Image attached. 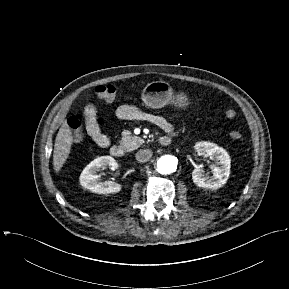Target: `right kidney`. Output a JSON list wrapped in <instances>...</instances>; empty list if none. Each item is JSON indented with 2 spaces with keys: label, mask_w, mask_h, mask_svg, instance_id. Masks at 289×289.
Listing matches in <instances>:
<instances>
[{
  "label": "right kidney",
  "mask_w": 289,
  "mask_h": 289,
  "mask_svg": "<svg viewBox=\"0 0 289 289\" xmlns=\"http://www.w3.org/2000/svg\"><path fill=\"white\" fill-rule=\"evenodd\" d=\"M111 167L115 169L117 162L111 156H101L89 163L80 175V184L97 194L118 193L121 190V185L113 181L101 182L97 172L100 168Z\"/></svg>",
  "instance_id": "1"
}]
</instances>
